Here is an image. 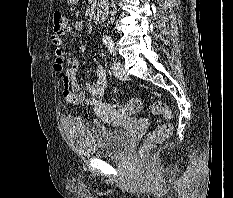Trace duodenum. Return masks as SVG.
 Instances as JSON below:
<instances>
[{
	"mask_svg": "<svg viewBox=\"0 0 233 198\" xmlns=\"http://www.w3.org/2000/svg\"><path fill=\"white\" fill-rule=\"evenodd\" d=\"M109 10V4L106 0H103L98 7L96 8L94 15H93V21L95 23H102L108 14Z\"/></svg>",
	"mask_w": 233,
	"mask_h": 198,
	"instance_id": "410a0bca",
	"label": "duodenum"
}]
</instances>
